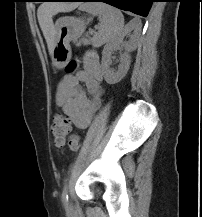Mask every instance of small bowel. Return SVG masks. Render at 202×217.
I'll use <instances>...</instances> for the list:
<instances>
[{
	"label": "small bowel",
	"mask_w": 202,
	"mask_h": 217,
	"mask_svg": "<svg viewBox=\"0 0 202 217\" xmlns=\"http://www.w3.org/2000/svg\"><path fill=\"white\" fill-rule=\"evenodd\" d=\"M103 71L95 54L85 57L83 67L75 74L62 77L56 89V100L69 115L78 129H85L103 102L104 89L101 86ZM85 84L89 98L81 84Z\"/></svg>",
	"instance_id": "small-bowel-1"
}]
</instances>
